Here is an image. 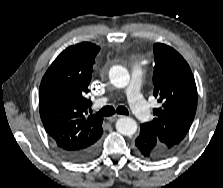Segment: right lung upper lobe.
<instances>
[{"mask_svg":"<svg viewBox=\"0 0 223 188\" xmlns=\"http://www.w3.org/2000/svg\"><path fill=\"white\" fill-rule=\"evenodd\" d=\"M100 48L83 42L65 49L46 71L39 90V111L46 132L58 147L74 150L102 133V117L90 115L92 67Z\"/></svg>","mask_w":223,"mask_h":188,"instance_id":"cb5924a9","label":"right lung upper lobe"}]
</instances>
